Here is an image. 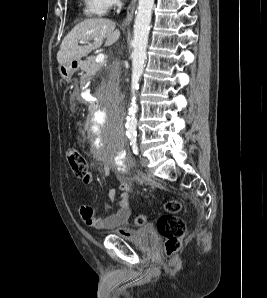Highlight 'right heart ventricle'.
I'll return each mask as SVG.
<instances>
[{
    "label": "right heart ventricle",
    "mask_w": 267,
    "mask_h": 298,
    "mask_svg": "<svg viewBox=\"0 0 267 298\" xmlns=\"http://www.w3.org/2000/svg\"><path fill=\"white\" fill-rule=\"evenodd\" d=\"M83 13L90 18H99L104 15L103 0H83Z\"/></svg>",
    "instance_id": "1"
}]
</instances>
